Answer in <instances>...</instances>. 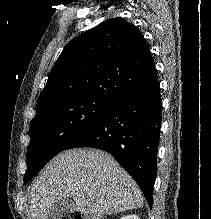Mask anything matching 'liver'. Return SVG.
<instances>
[{"label":"liver","mask_w":211,"mask_h":219,"mask_svg":"<svg viewBox=\"0 0 211 219\" xmlns=\"http://www.w3.org/2000/svg\"><path fill=\"white\" fill-rule=\"evenodd\" d=\"M73 198L82 214L112 215L143 206L142 192L108 153L67 150L54 157L30 187L31 219H48L53 204Z\"/></svg>","instance_id":"6515ba94"}]
</instances>
